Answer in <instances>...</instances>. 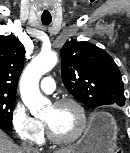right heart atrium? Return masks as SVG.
<instances>
[{
  "instance_id": "1",
  "label": "right heart atrium",
  "mask_w": 130,
  "mask_h": 153,
  "mask_svg": "<svg viewBox=\"0 0 130 153\" xmlns=\"http://www.w3.org/2000/svg\"><path fill=\"white\" fill-rule=\"evenodd\" d=\"M11 125L16 136L30 144H40L44 139V125L28 112L23 102H17L11 112Z\"/></svg>"
}]
</instances>
